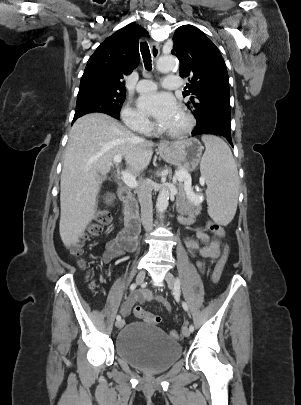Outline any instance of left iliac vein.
Wrapping results in <instances>:
<instances>
[{
  "label": "left iliac vein",
  "instance_id": "left-iliac-vein-1",
  "mask_svg": "<svg viewBox=\"0 0 301 405\" xmlns=\"http://www.w3.org/2000/svg\"><path fill=\"white\" fill-rule=\"evenodd\" d=\"M165 280H166L169 288L171 290H173L175 288V282H176V279H175L174 275L171 272H167L166 275H165ZM182 334H183V336L188 337L190 335L189 328L184 326L182 328Z\"/></svg>",
  "mask_w": 301,
  "mask_h": 405
}]
</instances>
